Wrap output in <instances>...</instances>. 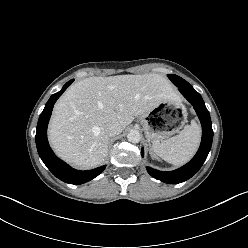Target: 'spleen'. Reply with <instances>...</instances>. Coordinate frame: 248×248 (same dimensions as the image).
I'll list each match as a JSON object with an SVG mask.
<instances>
[{
    "label": "spleen",
    "mask_w": 248,
    "mask_h": 248,
    "mask_svg": "<svg viewBox=\"0 0 248 248\" xmlns=\"http://www.w3.org/2000/svg\"><path fill=\"white\" fill-rule=\"evenodd\" d=\"M201 139L199 125L192 121L176 136L152 146L154 152L170 164L179 166L189 161L196 153Z\"/></svg>",
    "instance_id": "spleen-1"
}]
</instances>
